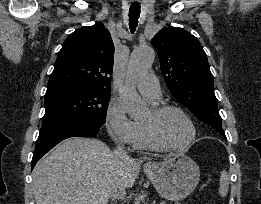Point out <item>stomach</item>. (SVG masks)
<instances>
[{
    "mask_svg": "<svg viewBox=\"0 0 261 204\" xmlns=\"http://www.w3.org/2000/svg\"><path fill=\"white\" fill-rule=\"evenodd\" d=\"M144 171L160 196L176 202L192 193L200 178L197 164L182 153L163 162L146 163Z\"/></svg>",
    "mask_w": 261,
    "mask_h": 204,
    "instance_id": "stomach-1",
    "label": "stomach"
}]
</instances>
